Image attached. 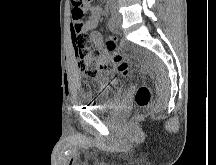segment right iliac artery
Masks as SVG:
<instances>
[{"instance_id":"obj_1","label":"right iliac artery","mask_w":216,"mask_h":165,"mask_svg":"<svg viewBox=\"0 0 216 165\" xmlns=\"http://www.w3.org/2000/svg\"><path fill=\"white\" fill-rule=\"evenodd\" d=\"M108 27L111 31H114V29H115V22H114L112 17L108 21Z\"/></svg>"}]
</instances>
